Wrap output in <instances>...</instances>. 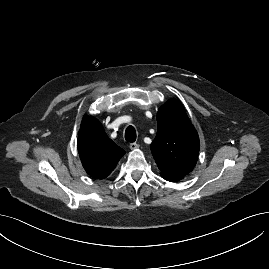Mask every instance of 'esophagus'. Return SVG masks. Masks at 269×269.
Wrapping results in <instances>:
<instances>
[{"mask_svg": "<svg viewBox=\"0 0 269 269\" xmlns=\"http://www.w3.org/2000/svg\"><path fill=\"white\" fill-rule=\"evenodd\" d=\"M129 147L131 150H136L139 148V145L137 143H131Z\"/></svg>", "mask_w": 269, "mask_h": 269, "instance_id": "34e87169", "label": "esophagus"}]
</instances>
